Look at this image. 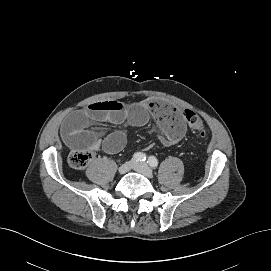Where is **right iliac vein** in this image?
<instances>
[{
    "label": "right iliac vein",
    "mask_w": 271,
    "mask_h": 271,
    "mask_svg": "<svg viewBox=\"0 0 271 271\" xmlns=\"http://www.w3.org/2000/svg\"><path fill=\"white\" fill-rule=\"evenodd\" d=\"M134 166H135V163H134V162H131V161L126 162V163L122 164V165L119 167L118 172H119L120 174H125V173H127L128 171H130L132 168H134Z\"/></svg>",
    "instance_id": "63e3f726"
}]
</instances>
